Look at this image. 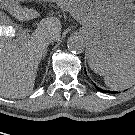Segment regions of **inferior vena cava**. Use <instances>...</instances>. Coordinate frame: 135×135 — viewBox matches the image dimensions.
Listing matches in <instances>:
<instances>
[{"instance_id": "inferior-vena-cava-1", "label": "inferior vena cava", "mask_w": 135, "mask_h": 135, "mask_svg": "<svg viewBox=\"0 0 135 135\" xmlns=\"http://www.w3.org/2000/svg\"><path fill=\"white\" fill-rule=\"evenodd\" d=\"M53 41H55L54 35H50V36H48L47 39H46V42H47L48 44L51 43V42H53Z\"/></svg>"}]
</instances>
